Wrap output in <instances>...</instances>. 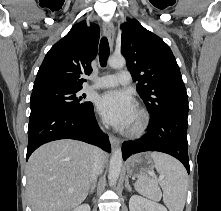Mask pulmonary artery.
<instances>
[{
    "mask_svg": "<svg viewBox=\"0 0 221 211\" xmlns=\"http://www.w3.org/2000/svg\"><path fill=\"white\" fill-rule=\"evenodd\" d=\"M131 82V74L129 71L122 70L116 75H106L95 80L91 88H111L117 85H128Z\"/></svg>",
    "mask_w": 221,
    "mask_h": 211,
    "instance_id": "pulmonary-artery-1",
    "label": "pulmonary artery"
}]
</instances>
